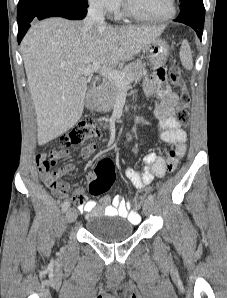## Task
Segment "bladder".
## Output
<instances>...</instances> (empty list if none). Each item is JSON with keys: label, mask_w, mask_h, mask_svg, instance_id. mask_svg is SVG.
Listing matches in <instances>:
<instances>
[{"label": "bladder", "mask_w": 227, "mask_h": 298, "mask_svg": "<svg viewBox=\"0 0 227 298\" xmlns=\"http://www.w3.org/2000/svg\"><path fill=\"white\" fill-rule=\"evenodd\" d=\"M85 226L93 237L106 243L125 240L134 233V224L127 219L107 220L97 216L88 219Z\"/></svg>", "instance_id": "obj_1"}]
</instances>
